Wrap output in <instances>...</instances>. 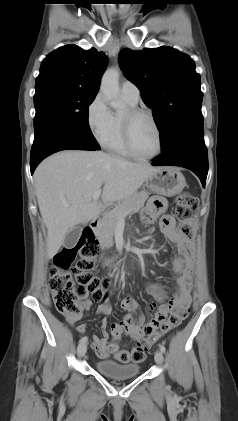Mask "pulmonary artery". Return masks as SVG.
<instances>
[{
	"label": "pulmonary artery",
	"mask_w": 238,
	"mask_h": 421,
	"mask_svg": "<svg viewBox=\"0 0 238 421\" xmlns=\"http://www.w3.org/2000/svg\"><path fill=\"white\" fill-rule=\"evenodd\" d=\"M122 97L132 104H137L139 101V89L130 81H124L120 87Z\"/></svg>",
	"instance_id": "e3ab8cb5"
}]
</instances>
